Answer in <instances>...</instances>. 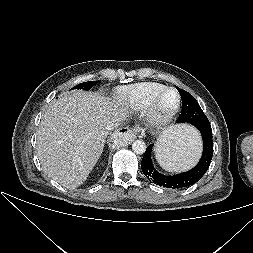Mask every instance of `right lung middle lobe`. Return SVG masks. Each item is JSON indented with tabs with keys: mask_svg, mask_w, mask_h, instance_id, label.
Instances as JSON below:
<instances>
[{
	"mask_svg": "<svg viewBox=\"0 0 253 253\" xmlns=\"http://www.w3.org/2000/svg\"><path fill=\"white\" fill-rule=\"evenodd\" d=\"M95 84H96L95 81H89V82L80 83V84H78L77 86H75L74 88L89 90V89H91Z\"/></svg>",
	"mask_w": 253,
	"mask_h": 253,
	"instance_id": "obj_1",
	"label": "right lung middle lobe"
}]
</instances>
